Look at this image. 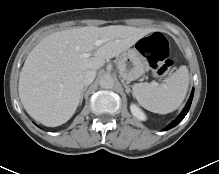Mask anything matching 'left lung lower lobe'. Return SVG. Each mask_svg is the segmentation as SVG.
<instances>
[{"mask_svg":"<svg viewBox=\"0 0 219 174\" xmlns=\"http://www.w3.org/2000/svg\"><path fill=\"white\" fill-rule=\"evenodd\" d=\"M193 95H194V90H192L191 96H190L184 110L180 114V116L175 121H173L165 130H169V129L175 127L183 120V118L186 116L187 112L189 111V108H190L191 103H192Z\"/></svg>","mask_w":219,"mask_h":174,"instance_id":"0a47b994","label":"left lung lower lobe"}]
</instances>
